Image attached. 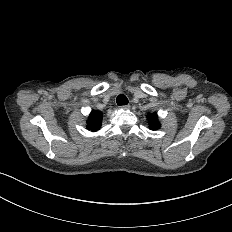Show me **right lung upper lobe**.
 Listing matches in <instances>:
<instances>
[{"instance_id":"obj_1","label":"right lung upper lobe","mask_w":232,"mask_h":232,"mask_svg":"<svg viewBox=\"0 0 232 232\" xmlns=\"http://www.w3.org/2000/svg\"><path fill=\"white\" fill-rule=\"evenodd\" d=\"M102 113L93 110L87 121V128L91 131H97L101 127Z\"/></svg>"}]
</instances>
